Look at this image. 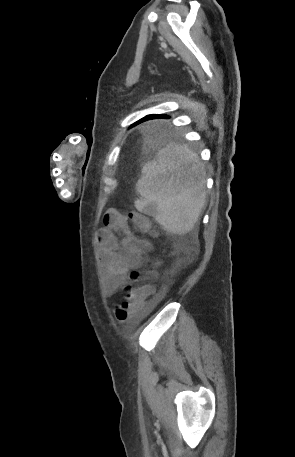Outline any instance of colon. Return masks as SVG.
<instances>
[{
	"mask_svg": "<svg viewBox=\"0 0 295 457\" xmlns=\"http://www.w3.org/2000/svg\"><path fill=\"white\" fill-rule=\"evenodd\" d=\"M129 218L141 232L153 234L151 221L147 216L133 211L129 214ZM130 276L131 280L136 282L141 278V273L137 270H133ZM145 277L148 279L154 278L155 271L153 269L148 270ZM150 294L151 289L147 285L129 288L124 296V300L115 307L114 312L117 320L122 324L137 321L144 309L146 299Z\"/></svg>",
	"mask_w": 295,
	"mask_h": 457,
	"instance_id": "colon-1",
	"label": "colon"
}]
</instances>
